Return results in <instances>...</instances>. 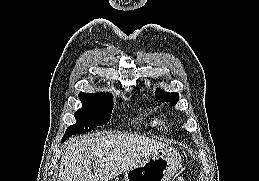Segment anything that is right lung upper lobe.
I'll return each mask as SVG.
<instances>
[{
    "label": "right lung upper lobe",
    "mask_w": 259,
    "mask_h": 181,
    "mask_svg": "<svg viewBox=\"0 0 259 181\" xmlns=\"http://www.w3.org/2000/svg\"><path fill=\"white\" fill-rule=\"evenodd\" d=\"M80 95L84 96H93V97H99V98H112L110 93H98V94H93V93H83L81 92Z\"/></svg>",
    "instance_id": "cb5924a9"
}]
</instances>
